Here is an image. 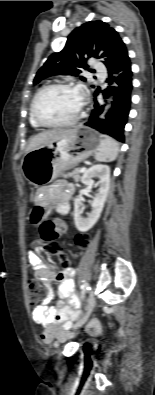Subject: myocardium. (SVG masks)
Listing matches in <instances>:
<instances>
[{"label": "myocardium", "mask_w": 155, "mask_h": 395, "mask_svg": "<svg viewBox=\"0 0 155 395\" xmlns=\"http://www.w3.org/2000/svg\"><path fill=\"white\" fill-rule=\"evenodd\" d=\"M52 88H71V89H75L79 92L78 86L72 82L58 81V82L50 83V84L43 86L36 92V94L34 95L32 101H31V104H30V114H31L33 121L39 127H45V128H64V127H70V126L75 125L80 120L81 115H82V110H83V103L82 102H81L78 112L70 120H67L64 122L46 123L38 117L37 112H36L37 101L42 93H44L45 91L52 89Z\"/></svg>", "instance_id": "1"}]
</instances>
